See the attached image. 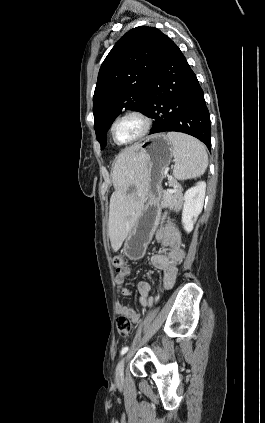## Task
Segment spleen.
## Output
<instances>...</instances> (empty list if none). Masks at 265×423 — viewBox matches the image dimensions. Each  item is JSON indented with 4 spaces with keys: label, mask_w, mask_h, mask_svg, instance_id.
<instances>
[{
    "label": "spleen",
    "mask_w": 265,
    "mask_h": 423,
    "mask_svg": "<svg viewBox=\"0 0 265 423\" xmlns=\"http://www.w3.org/2000/svg\"><path fill=\"white\" fill-rule=\"evenodd\" d=\"M174 156L173 176L178 180L200 177L208 166L205 146L197 139L183 133L168 132Z\"/></svg>",
    "instance_id": "obj_1"
}]
</instances>
